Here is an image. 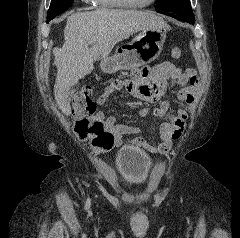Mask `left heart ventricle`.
Segmentation results:
<instances>
[{
  "label": "left heart ventricle",
  "mask_w": 240,
  "mask_h": 238,
  "mask_svg": "<svg viewBox=\"0 0 240 238\" xmlns=\"http://www.w3.org/2000/svg\"><path fill=\"white\" fill-rule=\"evenodd\" d=\"M129 1H134V2H141V3H144V2H147L149 0H129Z\"/></svg>",
  "instance_id": "b2bd125f"
}]
</instances>
